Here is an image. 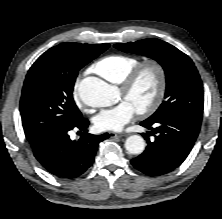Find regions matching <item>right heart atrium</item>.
I'll return each instance as SVG.
<instances>
[{
	"label": "right heart atrium",
	"mask_w": 222,
	"mask_h": 219,
	"mask_svg": "<svg viewBox=\"0 0 222 219\" xmlns=\"http://www.w3.org/2000/svg\"><path fill=\"white\" fill-rule=\"evenodd\" d=\"M75 99L77 102H81V103H85V101H86L84 95L78 91L75 92Z\"/></svg>",
	"instance_id": "right-heart-atrium-1"
}]
</instances>
